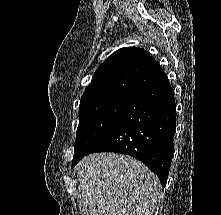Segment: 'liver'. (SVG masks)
<instances>
[{"instance_id":"6515ba94","label":"liver","mask_w":221,"mask_h":215,"mask_svg":"<svg viewBox=\"0 0 221 215\" xmlns=\"http://www.w3.org/2000/svg\"><path fill=\"white\" fill-rule=\"evenodd\" d=\"M83 215H153L158 177L128 155L96 153L76 167Z\"/></svg>"}]
</instances>
